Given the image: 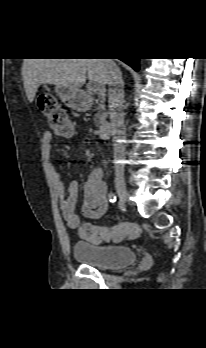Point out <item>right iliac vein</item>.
<instances>
[{"instance_id": "63e3f726", "label": "right iliac vein", "mask_w": 206, "mask_h": 348, "mask_svg": "<svg viewBox=\"0 0 206 348\" xmlns=\"http://www.w3.org/2000/svg\"><path fill=\"white\" fill-rule=\"evenodd\" d=\"M115 187L118 196L120 197L121 200L126 201L127 198L129 197L128 190L126 188L125 181L122 177H117L115 180Z\"/></svg>"}]
</instances>
